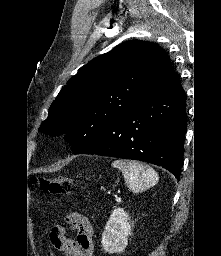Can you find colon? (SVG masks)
<instances>
[{
	"instance_id": "1",
	"label": "colon",
	"mask_w": 221,
	"mask_h": 256,
	"mask_svg": "<svg viewBox=\"0 0 221 256\" xmlns=\"http://www.w3.org/2000/svg\"><path fill=\"white\" fill-rule=\"evenodd\" d=\"M35 183L47 194H69L74 190L73 181L63 176L40 178L36 179Z\"/></svg>"
}]
</instances>
